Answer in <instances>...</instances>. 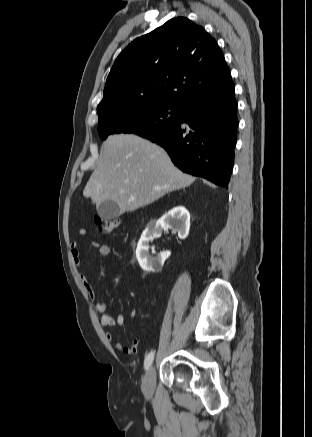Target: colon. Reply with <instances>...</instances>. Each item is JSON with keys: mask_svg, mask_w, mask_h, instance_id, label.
Listing matches in <instances>:
<instances>
[{"mask_svg": "<svg viewBox=\"0 0 312 437\" xmlns=\"http://www.w3.org/2000/svg\"><path fill=\"white\" fill-rule=\"evenodd\" d=\"M95 224L100 233L109 234L118 228L120 222L118 219H108L101 216H96Z\"/></svg>", "mask_w": 312, "mask_h": 437, "instance_id": "colon-1", "label": "colon"}]
</instances>
